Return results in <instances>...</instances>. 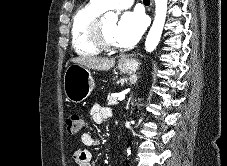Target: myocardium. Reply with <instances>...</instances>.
Here are the masks:
<instances>
[{
    "label": "myocardium",
    "mask_w": 227,
    "mask_h": 166,
    "mask_svg": "<svg viewBox=\"0 0 227 166\" xmlns=\"http://www.w3.org/2000/svg\"><path fill=\"white\" fill-rule=\"evenodd\" d=\"M105 15L102 14L97 17L89 27V36L94 45L103 51H113L117 49V45L108 42L104 37L103 25Z\"/></svg>",
    "instance_id": "myocardium-1"
}]
</instances>
